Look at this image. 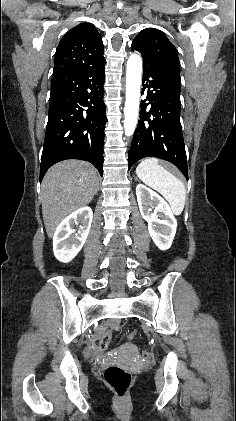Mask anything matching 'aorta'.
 Returning a JSON list of instances; mask_svg holds the SVG:
<instances>
[{
    "instance_id": "1",
    "label": "aorta",
    "mask_w": 236,
    "mask_h": 421,
    "mask_svg": "<svg viewBox=\"0 0 236 421\" xmlns=\"http://www.w3.org/2000/svg\"><path fill=\"white\" fill-rule=\"evenodd\" d=\"M141 78L142 58L139 54H130L126 66V100L124 106V130L127 136L133 134L137 124Z\"/></svg>"
}]
</instances>
